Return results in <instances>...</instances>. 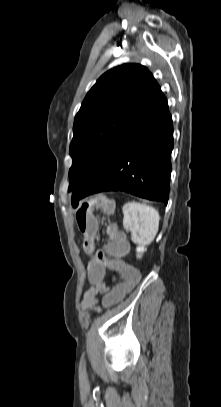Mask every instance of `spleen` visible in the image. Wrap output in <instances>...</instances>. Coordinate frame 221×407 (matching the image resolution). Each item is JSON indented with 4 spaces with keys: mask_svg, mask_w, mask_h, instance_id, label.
<instances>
[{
    "mask_svg": "<svg viewBox=\"0 0 221 407\" xmlns=\"http://www.w3.org/2000/svg\"><path fill=\"white\" fill-rule=\"evenodd\" d=\"M123 227L130 231L131 239L139 245L150 244L158 230L160 215L152 206L131 201L123 206Z\"/></svg>",
    "mask_w": 221,
    "mask_h": 407,
    "instance_id": "obj_1",
    "label": "spleen"
}]
</instances>
